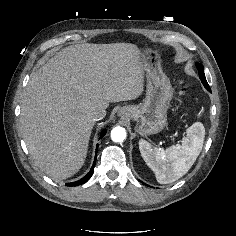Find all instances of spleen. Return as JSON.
<instances>
[{"label":"spleen","instance_id":"1","mask_svg":"<svg viewBox=\"0 0 236 236\" xmlns=\"http://www.w3.org/2000/svg\"><path fill=\"white\" fill-rule=\"evenodd\" d=\"M205 138L204 126L195 122L187 129V136L177 144L160 150L141 139L139 150L147 166L160 184L172 183L185 175L199 156Z\"/></svg>","mask_w":236,"mask_h":236}]
</instances>
